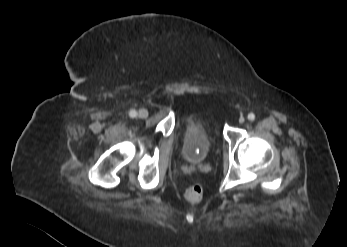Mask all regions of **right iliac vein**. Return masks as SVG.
Here are the masks:
<instances>
[{"mask_svg": "<svg viewBox=\"0 0 347 247\" xmlns=\"http://www.w3.org/2000/svg\"><path fill=\"white\" fill-rule=\"evenodd\" d=\"M137 117L141 118V119L147 118L148 117V111L144 108L140 109L137 113Z\"/></svg>", "mask_w": 347, "mask_h": 247, "instance_id": "right-iliac-vein-1", "label": "right iliac vein"}]
</instances>
